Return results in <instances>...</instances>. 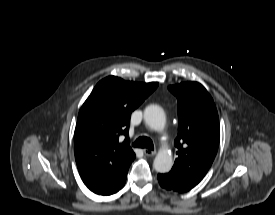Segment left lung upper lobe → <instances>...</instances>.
<instances>
[{
    "label": "left lung upper lobe",
    "mask_w": 275,
    "mask_h": 215,
    "mask_svg": "<svg viewBox=\"0 0 275 215\" xmlns=\"http://www.w3.org/2000/svg\"><path fill=\"white\" fill-rule=\"evenodd\" d=\"M168 89L178 100L179 157L172 170L201 181L216 156L220 127L217 109L208 91L198 82H183Z\"/></svg>",
    "instance_id": "obj_1"
}]
</instances>
